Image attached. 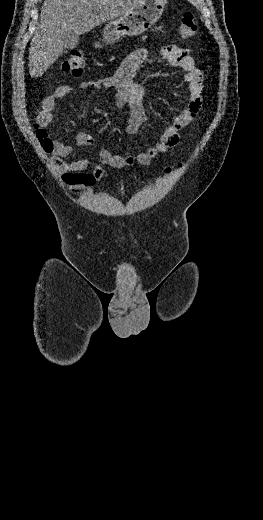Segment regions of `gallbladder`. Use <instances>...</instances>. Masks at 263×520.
<instances>
[{
    "mask_svg": "<svg viewBox=\"0 0 263 520\" xmlns=\"http://www.w3.org/2000/svg\"><path fill=\"white\" fill-rule=\"evenodd\" d=\"M63 41L66 49H72L78 45L79 36L69 31L63 36Z\"/></svg>",
    "mask_w": 263,
    "mask_h": 520,
    "instance_id": "bac80fb5",
    "label": "gallbladder"
}]
</instances>
